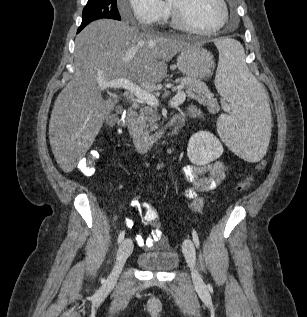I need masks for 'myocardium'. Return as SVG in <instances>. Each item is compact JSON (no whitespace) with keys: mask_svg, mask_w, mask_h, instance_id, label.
<instances>
[{"mask_svg":"<svg viewBox=\"0 0 307 317\" xmlns=\"http://www.w3.org/2000/svg\"><path fill=\"white\" fill-rule=\"evenodd\" d=\"M221 9H222V17L220 22L212 29L209 30H200L194 26H192L188 20L185 17V14L183 12V9L172 3L170 0H167L168 8L171 14L172 22L174 26H176L178 29L189 32L195 35L200 36H209L217 33L220 31L226 24L228 17H229V10L228 6L225 0H218Z\"/></svg>","mask_w":307,"mask_h":317,"instance_id":"f54148a6","label":"myocardium"}]
</instances>
